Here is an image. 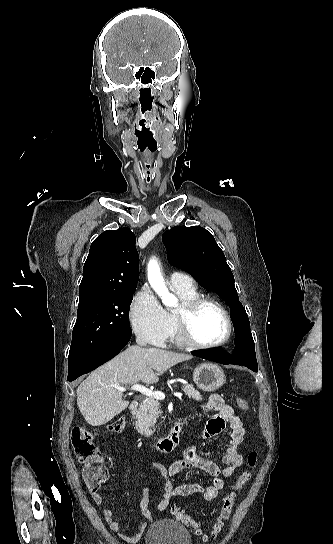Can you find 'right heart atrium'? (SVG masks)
Listing matches in <instances>:
<instances>
[{
	"instance_id": "obj_1",
	"label": "right heart atrium",
	"mask_w": 333,
	"mask_h": 544,
	"mask_svg": "<svg viewBox=\"0 0 333 544\" xmlns=\"http://www.w3.org/2000/svg\"><path fill=\"white\" fill-rule=\"evenodd\" d=\"M129 319L133 332L142 340L163 346L168 339L170 323L167 312L148 287H143L134 296Z\"/></svg>"
}]
</instances>
